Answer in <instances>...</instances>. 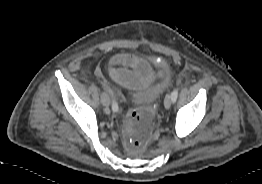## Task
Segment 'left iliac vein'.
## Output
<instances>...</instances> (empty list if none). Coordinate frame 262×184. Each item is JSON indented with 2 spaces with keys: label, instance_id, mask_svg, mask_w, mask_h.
Wrapping results in <instances>:
<instances>
[{
  "label": "left iliac vein",
  "instance_id": "4c4485c4",
  "mask_svg": "<svg viewBox=\"0 0 262 184\" xmlns=\"http://www.w3.org/2000/svg\"><path fill=\"white\" fill-rule=\"evenodd\" d=\"M171 104H172V97H171L170 94H168V95H166V97H165V99H164V107H165L166 109H169L170 106H171Z\"/></svg>",
  "mask_w": 262,
  "mask_h": 184
}]
</instances>
